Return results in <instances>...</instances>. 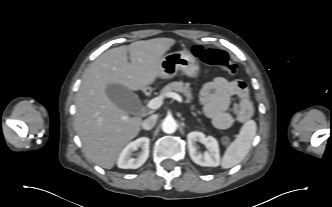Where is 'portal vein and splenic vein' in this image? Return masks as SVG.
<instances>
[{"mask_svg": "<svg viewBox=\"0 0 332 207\" xmlns=\"http://www.w3.org/2000/svg\"><path fill=\"white\" fill-rule=\"evenodd\" d=\"M166 96L171 97V98L177 100L180 103L183 102L182 97L177 93L171 92V93H168ZM162 103H163V97L159 96V97L151 99L148 102L147 106L150 109H158L162 105Z\"/></svg>", "mask_w": 332, "mask_h": 207, "instance_id": "portal-vein-and-splenic-vein-1", "label": "portal vein and splenic vein"}]
</instances>
